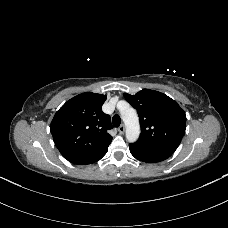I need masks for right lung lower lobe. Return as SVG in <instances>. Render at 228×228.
I'll list each match as a JSON object with an SVG mask.
<instances>
[{
  "label": "right lung lower lobe",
  "mask_w": 228,
  "mask_h": 228,
  "mask_svg": "<svg viewBox=\"0 0 228 228\" xmlns=\"http://www.w3.org/2000/svg\"><path fill=\"white\" fill-rule=\"evenodd\" d=\"M108 146L109 145H107V146H105V147H103V148H101L95 152L87 154L85 156L74 158V159H71L68 161H70L73 164H78V165L94 163V162L100 160L107 153Z\"/></svg>",
  "instance_id": "1"
}]
</instances>
